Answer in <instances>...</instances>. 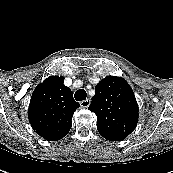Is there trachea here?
Instances as JSON below:
<instances>
[{"mask_svg": "<svg viewBox=\"0 0 173 173\" xmlns=\"http://www.w3.org/2000/svg\"><path fill=\"white\" fill-rule=\"evenodd\" d=\"M74 97L77 101H83L87 97V93L84 89H79L75 92Z\"/></svg>", "mask_w": 173, "mask_h": 173, "instance_id": "1", "label": "trachea"}]
</instances>
